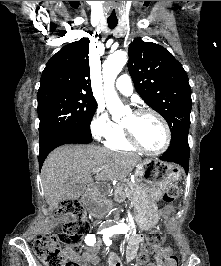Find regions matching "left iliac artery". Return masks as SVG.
<instances>
[{"mask_svg": "<svg viewBox=\"0 0 221 266\" xmlns=\"http://www.w3.org/2000/svg\"><path fill=\"white\" fill-rule=\"evenodd\" d=\"M113 234H116L115 232L106 231L103 233V241L107 246H110L112 244V241L109 239Z\"/></svg>", "mask_w": 221, "mask_h": 266, "instance_id": "1", "label": "left iliac artery"}]
</instances>
